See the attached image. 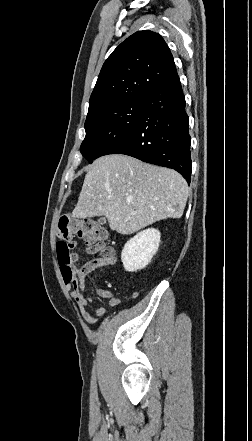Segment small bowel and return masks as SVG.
Segmentation results:
<instances>
[{"label":"small bowel","instance_id":"small-bowel-1","mask_svg":"<svg viewBox=\"0 0 252 441\" xmlns=\"http://www.w3.org/2000/svg\"><path fill=\"white\" fill-rule=\"evenodd\" d=\"M78 244L73 242V249L77 248ZM94 254L96 252H90ZM77 256H75L76 260ZM115 262L114 251L111 247L105 246L98 255L92 260L84 264L78 271L77 277L72 281H66L68 287L72 288V297L76 301L83 319L89 325H94L98 322L97 317H103L106 315L107 311L104 307H95L89 310L91 304H93V299L86 293V284L90 283L95 287L96 293L108 300L109 304L112 306L119 305V299L109 290L98 287L94 282V273L105 267H110Z\"/></svg>","mask_w":252,"mask_h":441}]
</instances>
